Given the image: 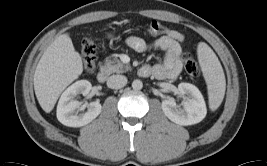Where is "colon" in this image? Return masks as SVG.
Wrapping results in <instances>:
<instances>
[{"label": "colon", "mask_w": 267, "mask_h": 166, "mask_svg": "<svg viewBox=\"0 0 267 166\" xmlns=\"http://www.w3.org/2000/svg\"><path fill=\"white\" fill-rule=\"evenodd\" d=\"M150 35H162L167 32V27L158 20H153L148 26ZM81 54L84 69L92 73L96 66V43L92 38H85L81 43ZM185 71L192 77H199L200 68L198 63L188 53L182 55Z\"/></svg>", "instance_id": "5ec220e1"}]
</instances>
